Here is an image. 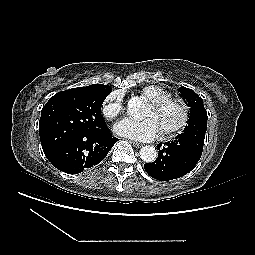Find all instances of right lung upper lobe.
Returning a JSON list of instances; mask_svg holds the SVG:
<instances>
[{"mask_svg": "<svg viewBox=\"0 0 255 255\" xmlns=\"http://www.w3.org/2000/svg\"><path fill=\"white\" fill-rule=\"evenodd\" d=\"M85 88H94V89H103V90L111 89L109 86L103 85V84H92V85L87 86Z\"/></svg>", "mask_w": 255, "mask_h": 255, "instance_id": "1", "label": "right lung upper lobe"}]
</instances>
